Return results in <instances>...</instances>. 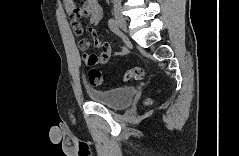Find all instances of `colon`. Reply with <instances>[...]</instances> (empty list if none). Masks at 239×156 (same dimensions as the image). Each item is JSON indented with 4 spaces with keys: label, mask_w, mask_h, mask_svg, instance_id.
Wrapping results in <instances>:
<instances>
[{
    "label": "colon",
    "mask_w": 239,
    "mask_h": 156,
    "mask_svg": "<svg viewBox=\"0 0 239 156\" xmlns=\"http://www.w3.org/2000/svg\"><path fill=\"white\" fill-rule=\"evenodd\" d=\"M78 16H81V14H78ZM143 78V70L141 67H132L130 68L125 76V80H141ZM88 81L91 85H98L102 82V74L101 72L96 68H91L88 72Z\"/></svg>",
    "instance_id": "5ec220e1"
}]
</instances>
